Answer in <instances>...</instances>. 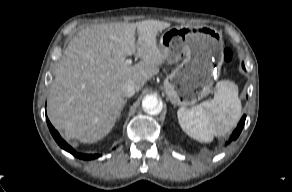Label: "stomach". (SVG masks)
Returning a JSON list of instances; mask_svg holds the SVG:
<instances>
[{
  "label": "stomach",
  "instance_id": "1",
  "mask_svg": "<svg viewBox=\"0 0 292 192\" xmlns=\"http://www.w3.org/2000/svg\"><path fill=\"white\" fill-rule=\"evenodd\" d=\"M169 63H179L164 81L171 103L191 106L207 96L220 75L223 62L221 34L210 27H171L160 38Z\"/></svg>",
  "mask_w": 292,
  "mask_h": 192
}]
</instances>
